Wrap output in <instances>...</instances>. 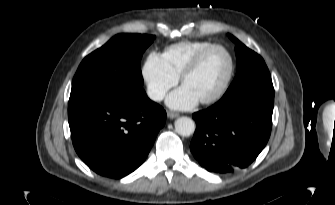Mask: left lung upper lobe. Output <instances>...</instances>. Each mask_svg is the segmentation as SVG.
Returning a JSON list of instances; mask_svg holds the SVG:
<instances>
[{"label":"left lung upper lobe","mask_w":335,"mask_h":205,"mask_svg":"<svg viewBox=\"0 0 335 205\" xmlns=\"http://www.w3.org/2000/svg\"><path fill=\"white\" fill-rule=\"evenodd\" d=\"M228 36L236 44L237 73L223 97L246 91L274 97L271 76L263 58L231 34Z\"/></svg>","instance_id":"left-lung-upper-lobe-1"}]
</instances>
